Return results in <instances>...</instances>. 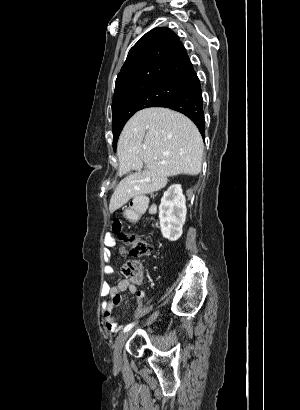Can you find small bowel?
<instances>
[{
    "label": "small bowel",
    "mask_w": 300,
    "mask_h": 410,
    "mask_svg": "<svg viewBox=\"0 0 300 410\" xmlns=\"http://www.w3.org/2000/svg\"><path fill=\"white\" fill-rule=\"evenodd\" d=\"M105 244L107 247H115L117 246V240L113 235L109 234L105 238ZM125 252V248H119V253L121 255H124ZM104 274L107 277L113 276L115 274V267L111 264L107 265L104 269ZM140 282V277H134L129 279H122L117 283L116 286L113 287H111L107 282L103 284L102 294L103 296L109 298L107 301L103 302L102 305V318L104 320L105 328L108 332L115 333L120 328L116 322L113 311L114 308L121 302V293L128 291L131 294H134L136 296V302L140 307L144 298L143 292L137 289V285Z\"/></svg>",
    "instance_id": "c3829d8e"
}]
</instances>
